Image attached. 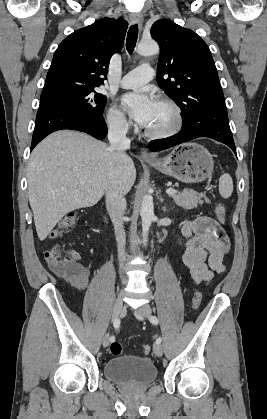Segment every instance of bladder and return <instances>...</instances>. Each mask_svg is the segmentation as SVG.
<instances>
[{"label": "bladder", "instance_id": "obj_1", "mask_svg": "<svg viewBox=\"0 0 267 419\" xmlns=\"http://www.w3.org/2000/svg\"><path fill=\"white\" fill-rule=\"evenodd\" d=\"M105 377L128 386H145L157 378V369L146 357L124 355L110 358L103 367Z\"/></svg>", "mask_w": 267, "mask_h": 419}]
</instances>
